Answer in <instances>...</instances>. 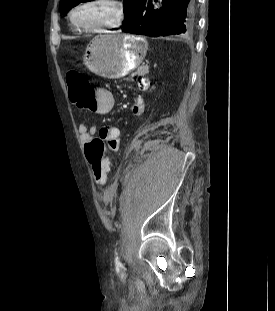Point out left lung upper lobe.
<instances>
[{"instance_id":"1","label":"left lung upper lobe","mask_w":275,"mask_h":311,"mask_svg":"<svg viewBox=\"0 0 275 311\" xmlns=\"http://www.w3.org/2000/svg\"><path fill=\"white\" fill-rule=\"evenodd\" d=\"M90 0H61L59 7L63 15H66L68 11L82 2H87ZM126 4L124 7L125 19L123 25L126 26L133 22L138 14L140 7L142 6L144 0H123Z\"/></svg>"}]
</instances>
